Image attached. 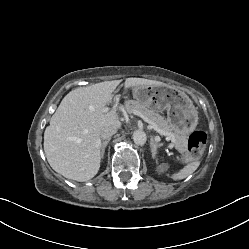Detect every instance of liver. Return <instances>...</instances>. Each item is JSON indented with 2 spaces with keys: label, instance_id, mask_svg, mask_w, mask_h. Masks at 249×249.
<instances>
[{
  "label": "liver",
  "instance_id": "1",
  "mask_svg": "<svg viewBox=\"0 0 249 249\" xmlns=\"http://www.w3.org/2000/svg\"><path fill=\"white\" fill-rule=\"evenodd\" d=\"M121 80L105 81L70 91L61 101L44 132V152L50 166L64 177L87 181L99 171L100 131L106 125L121 127L118 114L106 105ZM143 85H165L144 78H127L125 91Z\"/></svg>",
  "mask_w": 249,
  "mask_h": 249
}]
</instances>
